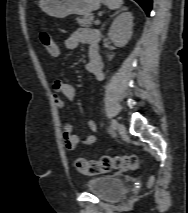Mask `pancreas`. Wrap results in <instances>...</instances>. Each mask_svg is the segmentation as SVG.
<instances>
[{
  "mask_svg": "<svg viewBox=\"0 0 188 213\" xmlns=\"http://www.w3.org/2000/svg\"><path fill=\"white\" fill-rule=\"evenodd\" d=\"M93 22H94L93 14H88V15H84L82 17L77 18V23L82 27L90 26L92 25Z\"/></svg>",
  "mask_w": 188,
  "mask_h": 213,
  "instance_id": "pancreas-1",
  "label": "pancreas"
}]
</instances>
